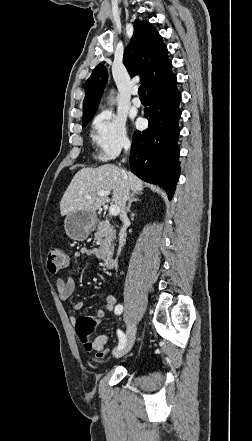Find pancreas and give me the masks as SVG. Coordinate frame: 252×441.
<instances>
[{
  "label": "pancreas",
  "mask_w": 252,
  "mask_h": 441,
  "mask_svg": "<svg viewBox=\"0 0 252 441\" xmlns=\"http://www.w3.org/2000/svg\"><path fill=\"white\" fill-rule=\"evenodd\" d=\"M116 238V233L112 229L110 223L102 221L99 223L97 232L95 234V240L99 243V258L106 260L114 249L113 241Z\"/></svg>",
  "instance_id": "1"
}]
</instances>
